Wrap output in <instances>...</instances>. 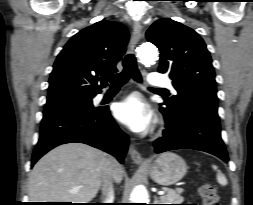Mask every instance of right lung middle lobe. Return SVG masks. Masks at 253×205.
I'll list each match as a JSON object with an SVG mask.
<instances>
[{
	"instance_id": "1",
	"label": "right lung middle lobe",
	"mask_w": 253,
	"mask_h": 205,
	"mask_svg": "<svg viewBox=\"0 0 253 205\" xmlns=\"http://www.w3.org/2000/svg\"><path fill=\"white\" fill-rule=\"evenodd\" d=\"M94 96L71 97L47 102L44 111L52 109L75 108L81 110H95L92 99Z\"/></svg>"
}]
</instances>
